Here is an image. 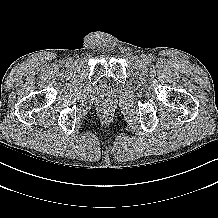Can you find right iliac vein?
Listing matches in <instances>:
<instances>
[{
    "instance_id": "1",
    "label": "right iliac vein",
    "mask_w": 218,
    "mask_h": 218,
    "mask_svg": "<svg viewBox=\"0 0 218 218\" xmlns=\"http://www.w3.org/2000/svg\"><path fill=\"white\" fill-rule=\"evenodd\" d=\"M71 63V61H70V59L69 60H65V64H70Z\"/></svg>"
}]
</instances>
